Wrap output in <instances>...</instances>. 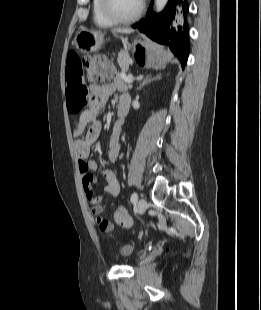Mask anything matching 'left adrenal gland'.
<instances>
[{"mask_svg":"<svg viewBox=\"0 0 261 310\" xmlns=\"http://www.w3.org/2000/svg\"><path fill=\"white\" fill-rule=\"evenodd\" d=\"M160 78H161V74H158L155 77H152L151 75H147L144 78V80L142 81V83L139 85V87H137V90L142 89L147 84H150L152 81H155V80L160 79Z\"/></svg>","mask_w":261,"mask_h":310,"instance_id":"obj_1","label":"left adrenal gland"}]
</instances>
